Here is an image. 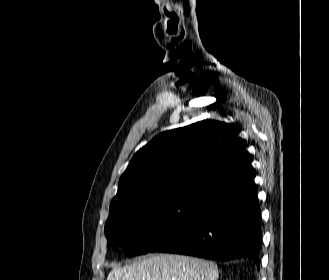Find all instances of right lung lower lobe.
<instances>
[{"label": "right lung lower lobe", "mask_w": 329, "mask_h": 280, "mask_svg": "<svg viewBox=\"0 0 329 280\" xmlns=\"http://www.w3.org/2000/svg\"><path fill=\"white\" fill-rule=\"evenodd\" d=\"M261 239L253 168L247 163L215 181L185 222L150 252L249 259L259 267Z\"/></svg>", "instance_id": "right-lung-lower-lobe-1"}]
</instances>
